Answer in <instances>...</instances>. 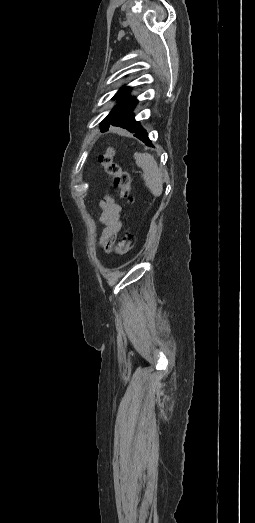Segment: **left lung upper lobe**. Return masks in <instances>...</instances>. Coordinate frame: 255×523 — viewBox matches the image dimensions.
I'll use <instances>...</instances> for the list:
<instances>
[{
    "label": "left lung upper lobe",
    "mask_w": 255,
    "mask_h": 523,
    "mask_svg": "<svg viewBox=\"0 0 255 523\" xmlns=\"http://www.w3.org/2000/svg\"><path fill=\"white\" fill-rule=\"evenodd\" d=\"M130 89L129 87H123L114 96V99L119 100L120 103L112 109L110 114L101 123L102 132L107 131L110 124L134 133L135 137H139V134H147L145 130H152V127H142L140 123L134 119L132 111L138 101L133 97L127 96ZM150 146H153V144Z\"/></svg>",
    "instance_id": "left-lung-upper-lobe-1"
}]
</instances>
